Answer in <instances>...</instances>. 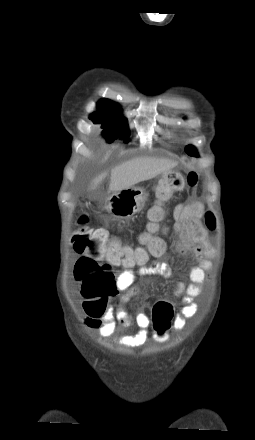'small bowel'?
<instances>
[{
    "label": "small bowel",
    "instance_id": "small-bowel-1",
    "mask_svg": "<svg viewBox=\"0 0 255 440\" xmlns=\"http://www.w3.org/2000/svg\"><path fill=\"white\" fill-rule=\"evenodd\" d=\"M203 214L204 204L201 202L177 204L172 212L174 223L171 226V232L178 237L175 249L180 253H191L198 262V265L193 266L190 270L191 283L178 282L175 290V294L181 297L182 302L173 322V328L176 331L184 329L186 320L196 314L198 306L194 299L201 293V287L207 280V273L211 269L209 258L213 256L214 251L205 240L206 231L201 222ZM161 243L163 249L160 254L165 251V245L162 241ZM143 275L167 277L170 275V268L165 262L150 260L145 254L140 262L129 265L118 275L115 282L116 288L124 293L119 298L117 308H107L101 317L87 316L85 324L89 328L97 330L101 337L110 338L117 331L118 324L128 327L135 323L139 327L138 332L132 335H122L116 343L125 348H137L146 344L149 341V316L145 312L132 316L124 307V304L137 294L138 288L134 283L139 276Z\"/></svg>",
    "mask_w": 255,
    "mask_h": 440
}]
</instances>
